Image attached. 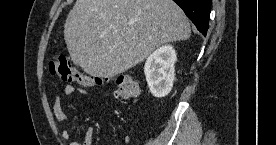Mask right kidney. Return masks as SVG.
<instances>
[{
  "mask_svg": "<svg viewBox=\"0 0 276 145\" xmlns=\"http://www.w3.org/2000/svg\"><path fill=\"white\" fill-rule=\"evenodd\" d=\"M176 60V52L171 45L159 47L147 58L144 73L148 87L155 97H165L172 90Z\"/></svg>",
  "mask_w": 276,
  "mask_h": 145,
  "instance_id": "right-kidney-1",
  "label": "right kidney"
}]
</instances>
